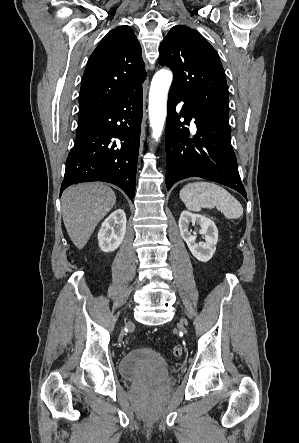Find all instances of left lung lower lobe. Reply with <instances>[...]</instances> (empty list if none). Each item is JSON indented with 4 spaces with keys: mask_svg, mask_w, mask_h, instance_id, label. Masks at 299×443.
Wrapping results in <instances>:
<instances>
[{
    "mask_svg": "<svg viewBox=\"0 0 299 443\" xmlns=\"http://www.w3.org/2000/svg\"><path fill=\"white\" fill-rule=\"evenodd\" d=\"M184 102L180 111L179 102ZM166 121V186L187 177H201L238 191L246 198L231 146L229 122L196 106L170 89ZM184 121L181 122L180 119ZM195 118L197 132L186 127Z\"/></svg>",
    "mask_w": 299,
    "mask_h": 443,
    "instance_id": "obj_1",
    "label": "left lung lower lobe"
}]
</instances>
